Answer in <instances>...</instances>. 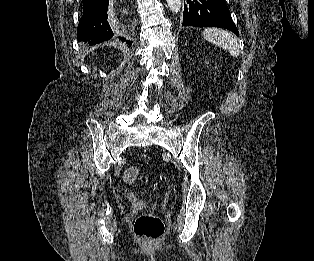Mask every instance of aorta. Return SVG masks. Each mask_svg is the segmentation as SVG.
<instances>
[{"mask_svg":"<svg viewBox=\"0 0 314 261\" xmlns=\"http://www.w3.org/2000/svg\"><path fill=\"white\" fill-rule=\"evenodd\" d=\"M168 8L174 14L178 13L181 9V0H166Z\"/></svg>","mask_w":314,"mask_h":261,"instance_id":"obj_1","label":"aorta"}]
</instances>
